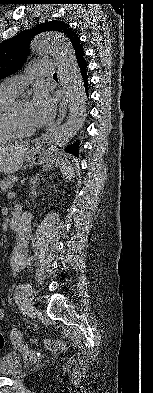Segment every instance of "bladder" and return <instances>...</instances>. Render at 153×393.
Here are the masks:
<instances>
[{
    "label": "bladder",
    "mask_w": 153,
    "mask_h": 393,
    "mask_svg": "<svg viewBox=\"0 0 153 393\" xmlns=\"http://www.w3.org/2000/svg\"><path fill=\"white\" fill-rule=\"evenodd\" d=\"M23 366L14 352L3 355L0 359V375L4 377H16L22 373Z\"/></svg>",
    "instance_id": "obj_1"
}]
</instances>
